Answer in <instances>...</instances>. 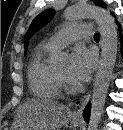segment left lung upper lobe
<instances>
[{"label":"left lung upper lobe","mask_w":123,"mask_h":130,"mask_svg":"<svg viewBox=\"0 0 123 130\" xmlns=\"http://www.w3.org/2000/svg\"><path fill=\"white\" fill-rule=\"evenodd\" d=\"M97 5L104 6L105 4L102 2V0H93ZM54 16V10L48 9L43 12H41L37 17L34 18L32 21L27 33L24 37V42L29 39L30 35H32L34 32L38 31L40 28H42L44 25H46Z\"/></svg>","instance_id":"5c2ea615"}]
</instances>
